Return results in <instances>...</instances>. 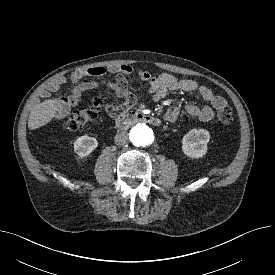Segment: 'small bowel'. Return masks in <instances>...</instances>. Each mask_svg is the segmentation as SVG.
<instances>
[{
    "mask_svg": "<svg viewBox=\"0 0 275 275\" xmlns=\"http://www.w3.org/2000/svg\"><path fill=\"white\" fill-rule=\"evenodd\" d=\"M108 73L117 74V78L113 82L106 85L114 92L119 100L118 104H108L106 112L111 117H117L131 108L135 104V97L128 89L127 77L134 75V70L130 66H111V67H90L80 68L69 74L67 77H59L54 80L50 87V91H56L66 82L74 84L71 95L60 102L62 111L69 110L78 105L82 93L96 86L95 82H83L85 77H101ZM137 76L144 82L149 84V92L153 101L157 102L164 98L169 91H182L191 93L197 91L201 98L209 103V105L198 106L196 104H188L185 107L186 112L193 117H197L203 122L210 121L214 117L215 110H219L227 106L226 100L216 95L210 88L199 86L195 81L190 79H178L171 74H161L152 76L147 71L137 72ZM61 112L57 113L55 118H59ZM180 114L179 107H172L165 113V120L174 122Z\"/></svg>",
    "mask_w": 275,
    "mask_h": 275,
    "instance_id": "small-bowel-1",
    "label": "small bowel"
}]
</instances>
